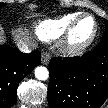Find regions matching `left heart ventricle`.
Returning <instances> with one entry per match:
<instances>
[{"instance_id": "left-heart-ventricle-1", "label": "left heart ventricle", "mask_w": 108, "mask_h": 108, "mask_svg": "<svg viewBox=\"0 0 108 108\" xmlns=\"http://www.w3.org/2000/svg\"><path fill=\"white\" fill-rule=\"evenodd\" d=\"M92 30V22L91 20L87 19L84 20L77 28L75 32V39L76 40H83L85 39Z\"/></svg>"}]
</instances>
